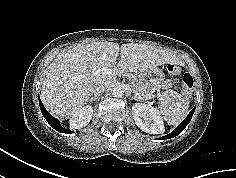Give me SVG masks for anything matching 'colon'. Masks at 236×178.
Listing matches in <instances>:
<instances>
[{
    "instance_id": "5ec220e1",
    "label": "colon",
    "mask_w": 236,
    "mask_h": 178,
    "mask_svg": "<svg viewBox=\"0 0 236 178\" xmlns=\"http://www.w3.org/2000/svg\"><path fill=\"white\" fill-rule=\"evenodd\" d=\"M168 72L175 78L181 80V91L184 95L189 96L192 93L194 81L189 73L183 72L182 68L176 64L168 65Z\"/></svg>"
}]
</instances>
